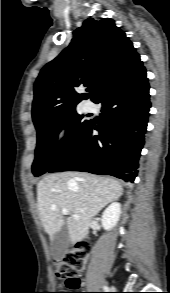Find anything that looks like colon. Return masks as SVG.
<instances>
[{"instance_id": "5ec220e1", "label": "colon", "mask_w": 170, "mask_h": 293, "mask_svg": "<svg viewBox=\"0 0 170 293\" xmlns=\"http://www.w3.org/2000/svg\"><path fill=\"white\" fill-rule=\"evenodd\" d=\"M87 253L81 245L67 259L55 260V274L62 281L61 290L74 291L80 287L78 274L84 270L87 265ZM55 293H73V292H55Z\"/></svg>"}]
</instances>
